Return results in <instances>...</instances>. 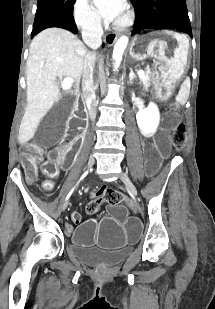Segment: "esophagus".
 <instances>
[{"instance_id":"34e87169","label":"esophagus","mask_w":215,"mask_h":309,"mask_svg":"<svg viewBox=\"0 0 215 309\" xmlns=\"http://www.w3.org/2000/svg\"><path fill=\"white\" fill-rule=\"evenodd\" d=\"M117 39V35L115 33H107L104 37L105 42L107 45L111 46Z\"/></svg>"}]
</instances>
